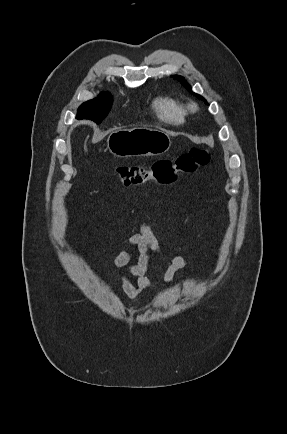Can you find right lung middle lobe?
<instances>
[{
    "mask_svg": "<svg viewBox=\"0 0 287 434\" xmlns=\"http://www.w3.org/2000/svg\"><path fill=\"white\" fill-rule=\"evenodd\" d=\"M112 105V97L108 93H102L93 100L83 103L79 109L77 118H88L100 123L108 114Z\"/></svg>",
    "mask_w": 287,
    "mask_h": 434,
    "instance_id": "right-lung-middle-lobe-1",
    "label": "right lung middle lobe"
}]
</instances>
